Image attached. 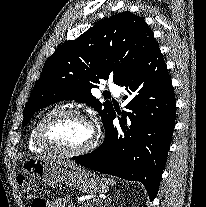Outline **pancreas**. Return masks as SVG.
<instances>
[{
  "label": "pancreas",
  "instance_id": "cf45deb5",
  "mask_svg": "<svg viewBox=\"0 0 206 207\" xmlns=\"http://www.w3.org/2000/svg\"><path fill=\"white\" fill-rule=\"evenodd\" d=\"M80 207H94V204H92L90 202H83Z\"/></svg>",
  "mask_w": 206,
  "mask_h": 207
}]
</instances>
